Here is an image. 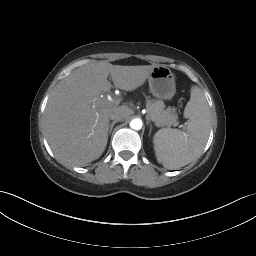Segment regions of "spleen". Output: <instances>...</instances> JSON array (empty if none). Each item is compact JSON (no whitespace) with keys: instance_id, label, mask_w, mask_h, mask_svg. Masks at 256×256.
<instances>
[{"instance_id":"obj_1","label":"spleen","mask_w":256,"mask_h":256,"mask_svg":"<svg viewBox=\"0 0 256 256\" xmlns=\"http://www.w3.org/2000/svg\"><path fill=\"white\" fill-rule=\"evenodd\" d=\"M184 116L187 131L162 128L153 138L156 159L167 169L183 167L198 158L210 132V110L206 98L197 86H192Z\"/></svg>"}]
</instances>
